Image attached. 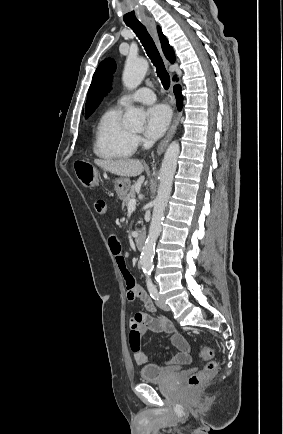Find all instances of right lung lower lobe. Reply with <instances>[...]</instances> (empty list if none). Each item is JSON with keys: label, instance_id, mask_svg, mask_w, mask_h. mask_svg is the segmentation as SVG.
I'll return each mask as SVG.
<instances>
[{"label": "right lung lower lobe", "instance_id": "1", "mask_svg": "<svg viewBox=\"0 0 283 434\" xmlns=\"http://www.w3.org/2000/svg\"><path fill=\"white\" fill-rule=\"evenodd\" d=\"M173 79L175 80L176 76ZM174 94H175V97L177 99V107H178L179 110H181L182 109L183 98L181 96V86L180 85H175L174 86Z\"/></svg>", "mask_w": 283, "mask_h": 434}]
</instances>
